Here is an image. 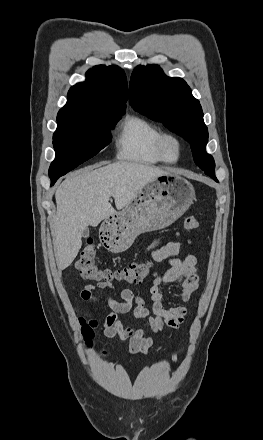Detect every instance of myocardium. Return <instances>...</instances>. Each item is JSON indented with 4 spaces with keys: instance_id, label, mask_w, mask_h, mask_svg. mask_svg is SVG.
<instances>
[{
    "instance_id": "myocardium-1",
    "label": "myocardium",
    "mask_w": 263,
    "mask_h": 440,
    "mask_svg": "<svg viewBox=\"0 0 263 440\" xmlns=\"http://www.w3.org/2000/svg\"><path fill=\"white\" fill-rule=\"evenodd\" d=\"M167 140H172L176 143L177 145V156L175 159H169L166 156L165 153V142ZM156 148H157V152L160 156V158L166 162V163H176L180 160L182 153H183V141L182 139L175 133L173 132H161L160 135L158 136L157 142H156Z\"/></svg>"
}]
</instances>
